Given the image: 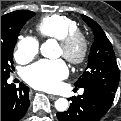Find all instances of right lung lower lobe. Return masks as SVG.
Here are the masks:
<instances>
[{
    "label": "right lung lower lobe",
    "mask_w": 121,
    "mask_h": 121,
    "mask_svg": "<svg viewBox=\"0 0 121 121\" xmlns=\"http://www.w3.org/2000/svg\"><path fill=\"white\" fill-rule=\"evenodd\" d=\"M8 78L1 77V121H18L30 105L29 88L22 83L19 88L9 85Z\"/></svg>",
    "instance_id": "right-lung-lower-lobe-1"
}]
</instances>
